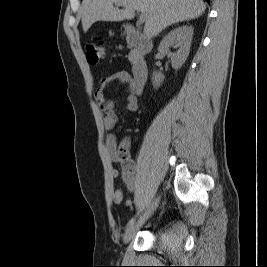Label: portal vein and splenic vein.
<instances>
[{"label":"portal vein and splenic vein","mask_w":267,"mask_h":267,"mask_svg":"<svg viewBox=\"0 0 267 267\" xmlns=\"http://www.w3.org/2000/svg\"><path fill=\"white\" fill-rule=\"evenodd\" d=\"M116 5L120 6V3H116ZM147 15L145 13H141L139 16V21L144 22L146 20Z\"/></svg>","instance_id":"1"}]
</instances>
